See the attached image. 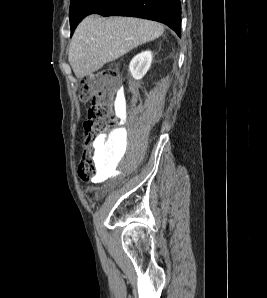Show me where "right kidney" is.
<instances>
[{
	"instance_id": "ca27d5eb",
	"label": "right kidney",
	"mask_w": 267,
	"mask_h": 298,
	"mask_svg": "<svg viewBox=\"0 0 267 298\" xmlns=\"http://www.w3.org/2000/svg\"><path fill=\"white\" fill-rule=\"evenodd\" d=\"M152 53L151 51H143L136 56L130 62L129 70L134 79L140 80L147 73L151 66Z\"/></svg>"
}]
</instances>
